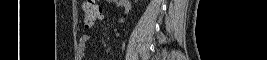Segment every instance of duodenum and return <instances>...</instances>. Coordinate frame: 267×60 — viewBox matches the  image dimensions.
Returning <instances> with one entry per match:
<instances>
[{
  "label": "duodenum",
  "mask_w": 267,
  "mask_h": 60,
  "mask_svg": "<svg viewBox=\"0 0 267 60\" xmlns=\"http://www.w3.org/2000/svg\"><path fill=\"white\" fill-rule=\"evenodd\" d=\"M115 2H116V3L123 4V3H126V2H128V1H126V0H116Z\"/></svg>",
  "instance_id": "duodenum-1"
}]
</instances>
